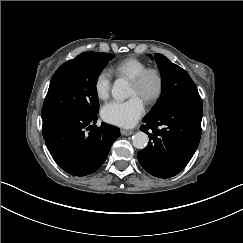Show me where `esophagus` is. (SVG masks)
Segmentation results:
<instances>
[{"instance_id": "esophagus-1", "label": "esophagus", "mask_w": 243, "mask_h": 243, "mask_svg": "<svg viewBox=\"0 0 243 243\" xmlns=\"http://www.w3.org/2000/svg\"><path fill=\"white\" fill-rule=\"evenodd\" d=\"M121 134H122L123 136H130V135L133 134V131H131V130H125V129H121Z\"/></svg>"}]
</instances>
